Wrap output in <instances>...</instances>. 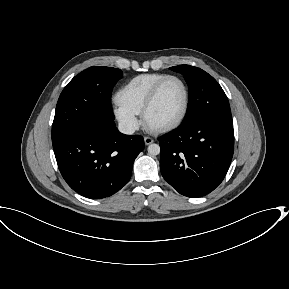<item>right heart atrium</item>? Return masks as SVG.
Masks as SVG:
<instances>
[{
	"label": "right heart atrium",
	"instance_id": "d8ad5b80",
	"mask_svg": "<svg viewBox=\"0 0 289 289\" xmlns=\"http://www.w3.org/2000/svg\"><path fill=\"white\" fill-rule=\"evenodd\" d=\"M113 113L121 127L127 133H133L139 127L137 114L128 110L118 102L113 107Z\"/></svg>",
	"mask_w": 289,
	"mask_h": 289
}]
</instances>
